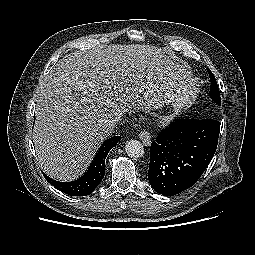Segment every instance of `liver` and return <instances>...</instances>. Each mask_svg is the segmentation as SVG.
Masks as SVG:
<instances>
[{
	"mask_svg": "<svg viewBox=\"0 0 255 255\" xmlns=\"http://www.w3.org/2000/svg\"><path fill=\"white\" fill-rule=\"evenodd\" d=\"M194 90L188 65L162 48L113 44L69 54L42 83L33 132L38 163L56 180L76 179L113 131L115 117L131 108L185 105Z\"/></svg>",
	"mask_w": 255,
	"mask_h": 255,
	"instance_id": "6515ba94",
	"label": "liver"
}]
</instances>
